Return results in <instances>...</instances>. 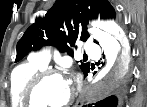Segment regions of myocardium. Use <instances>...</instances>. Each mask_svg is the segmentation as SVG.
<instances>
[{
  "label": "myocardium",
  "instance_id": "obj_1",
  "mask_svg": "<svg viewBox=\"0 0 147 107\" xmlns=\"http://www.w3.org/2000/svg\"><path fill=\"white\" fill-rule=\"evenodd\" d=\"M51 77H63L61 72L55 68H44L38 73H36L30 82L28 83L24 92V104L26 107H42L37 105L35 100V94L43 82ZM74 99L73 90L70 93L68 99L59 106L56 107H68Z\"/></svg>",
  "mask_w": 147,
  "mask_h": 107
}]
</instances>
